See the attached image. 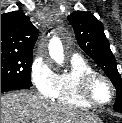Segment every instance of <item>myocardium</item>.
<instances>
[{
    "instance_id": "myocardium-1",
    "label": "myocardium",
    "mask_w": 122,
    "mask_h": 123,
    "mask_svg": "<svg viewBox=\"0 0 122 123\" xmlns=\"http://www.w3.org/2000/svg\"><path fill=\"white\" fill-rule=\"evenodd\" d=\"M97 80L105 81L111 90V96L107 101H104V102L98 101L94 98L92 94L93 85L95 84ZM78 94L82 100L89 103L90 105L100 107V106H105L109 104L114 99L115 87L112 81L106 75L97 71H92V72L86 73L80 79V82L78 85Z\"/></svg>"
}]
</instances>
